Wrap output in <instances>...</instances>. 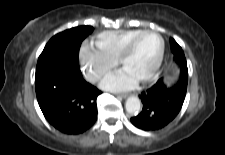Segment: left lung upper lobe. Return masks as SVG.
Segmentation results:
<instances>
[{"instance_id":"5c2ea615","label":"left lung upper lobe","mask_w":225,"mask_h":155,"mask_svg":"<svg viewBox=\"0 0 225 155\" xmlns=\"http://www.w3.org/2000/svg\"><path fill=\"white\" fill-rule=\"evenodd\" d=\"M171 49H172L173 54L175 55L174 60L177 62V64L179 65V67L181 69V76H180L179 80L181 82L187 83L188 82V68H187V62L185 59L184 52L174 39H171Z\"/></svg>"}]
</instances>
